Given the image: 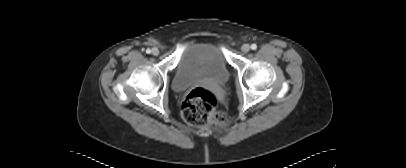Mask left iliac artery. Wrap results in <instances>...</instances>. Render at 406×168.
I'll return each instance as SVG.
<instances>
[{"instance_id": "44dca946", "label": "left iliac artery", "mask_w": 406, "mask_h": 168, "mask_svg": "<svg viewBox=\"0 0 406 168\" xmlns=\"http://www.w3.org/2000/svg\"><path fill=\"white\" fill-rule=\"evenodd\" d=\"M251 49H252V50H256V49H257V45H256V44H252V45H251Z\"/></svg>"}]
</instances>
